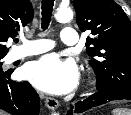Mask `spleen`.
Segmentation results:
<instances>
[{
	"instance_id": "spleen-1",
	"label": "spleen",
	"mask_w": 131,
	"mask_h": 115,
	"mask_svg": "<svg viewBox=\"0 0 131 115\" xmlns=\"http://www.w3.org/2000/svg\"><path fill=\"white\" fill-rule=\"evenodd\" d=\"M113 115H131V109L116 108L112 111Z\"/></svg>"
}]
</instances>
